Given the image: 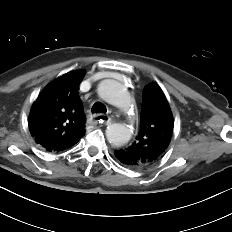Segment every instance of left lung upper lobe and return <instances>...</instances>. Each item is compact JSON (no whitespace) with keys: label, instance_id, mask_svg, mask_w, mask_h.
Returning a JSON list of instances; mask_svg holds the SVG:
<instances>
[{"label":"left lung upper lobe","instance_id":"1","mask_svg":"<svg viewBox=\"0 0 232 232\" xmlns=\"http://www.w3.org/2000/svg\"><path fill=\"white\" fill-rule=\"evenodd\" d=\"M174 127L173 115L162 89L155 83L145 86L140 130L135 141L123 150L136 161L135 169L156 163L165 154Z\"/></svg>","mask_w":232,"mask_h":232}]
</instances>
